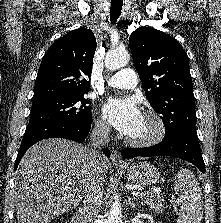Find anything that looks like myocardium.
<instances>
[{
	"label": "myocardium",
	"instance_id": "obj_1",
	"mask_svg": "<svg viewBox=\"0 0 221 223\" xmlns=\"http://www.w3.org/2000/svg\"><path fill=\"white\" fill-rule=\"evenodd\" d=\"M143 116L148 117L153 120L155 125V130L152 134L143 138H131L127 137L126 142L132 146L136 147H149L159 143L166 134V124L162 116L152 110L146 109L143 112Z\"/></svg>",
	"mask_w": 221,
	"mask_h": 223
}]
</instances>
